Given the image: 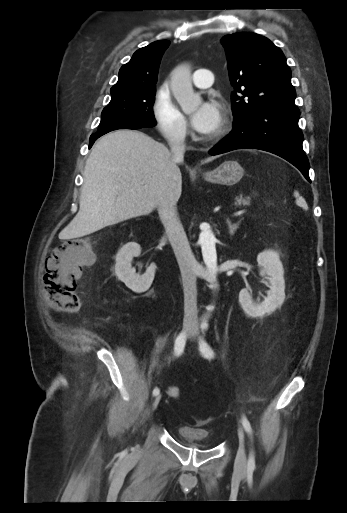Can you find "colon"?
<instances>
[{
	"instance_id": "1",
	"label": "colon",
	"mask_w": 347,
	"mask_h": 513,
	"mask_svg": "<svg viewBox=\"0 0 347 513\" xmlns=\"http://www.w3.org/2000/svg\"><path fill=\"white\" fill-rule=\"evenodd\" d=\"M94 253L90 243L84 238H74L59 245L47 262L44 275L45 286L53 306L62 312H75L80 306L76 291L77 280L85 266L92 264ZM168 394L179 399L178 387H170Z\"/></svg>"
}]
</instances>
